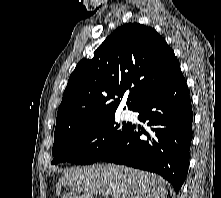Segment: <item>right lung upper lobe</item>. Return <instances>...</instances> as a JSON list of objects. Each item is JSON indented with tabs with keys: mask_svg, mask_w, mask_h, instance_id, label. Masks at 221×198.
Listing matches in <instances>:
<instances>
[{
	"mask_svg": "<svg viewBox=\"0 0 221 198\" xmlns=\"http://www.w3.org/2000/svg\"><path fill=\"white\" fill-rule=\"evenodd\" d=\"M180 72L173 50L155 29L139 23L119 27L70 75L54 138L115 114L126 94L128 109L135 111Z\"/></svg>",
	"mask_w": 221,
	"mask_h": 198,
	"instance_id": "obj_1",
	"label": "right lung upper lobe"
}]
</instances>
